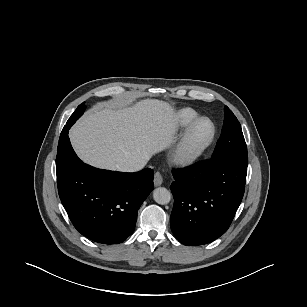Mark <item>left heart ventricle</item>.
<instances>
[{
    "instance_id": "b2bd125f",
    "label": "left heart ventricle",
    "mask_w": 307,
    "mask_h": 307,
    "mask_svg": "<svg viewBox=\"0 0 307 307\" xmlns=\"http://www.w3.org/2000/svg\"><path fill=\"white\" fill-rule=\"evenodd\" d=\"M211 126L208 122L201 123L196 129L193 137V144L200 145L203 143L210 135Z\"/></svg>"
}]
</instances>
